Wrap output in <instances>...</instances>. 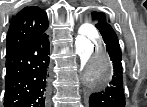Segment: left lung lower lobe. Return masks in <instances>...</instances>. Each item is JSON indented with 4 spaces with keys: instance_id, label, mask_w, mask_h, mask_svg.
I'll return each mask as SVG.
<instances>
[{
    "instance_id": "1",
    "label": "left lung lower lobe",
    "mask_w": 147,
    "mask_h": 107,
    "mask_svg": "<svg viewBox=\"0 0 147 107\" xmlns=\"http://www.w3.org/2000/svg\"><path fill=\"white\" fill-rule=\"evenodd\" d=\"M102 35L106 49L113 63V75L102 87L90 88L88 107H125L121 51L118 38L109 24L96 26Z\"/></svg>"
}]
</instances>
